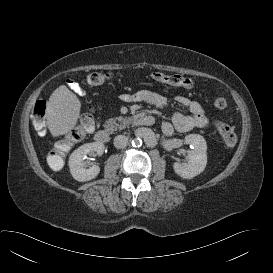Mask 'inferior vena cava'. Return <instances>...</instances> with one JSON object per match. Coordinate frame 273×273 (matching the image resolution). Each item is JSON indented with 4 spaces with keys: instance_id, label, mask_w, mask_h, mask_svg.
Instances as JSON below:
<instances>
[{
    "instance_id": "inferior-vena-cava-1",
    "label": "inferior vena cava",
    "mask_w": 273,
    "mask_h": 273,
    "mask_svg": "<svg viewBox=\"0 0 273 273\" xmlns=\"http://www.w3.org/2000/svg\"><path fill=\"white\" fill-rule=\"evenodd\" d=\"M128 144V137L125 135H118L114 138V146L116 148H125Z\"/></svg>"
}]
</instances>
